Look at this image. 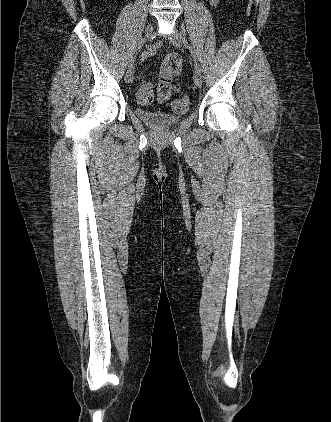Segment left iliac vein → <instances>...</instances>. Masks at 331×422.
<instances>
[{
    "label": "left iliac vein",
    "instance_id": "left-iliac-vein-1",
    "mask_svg": "<svg viewBox=\"0 0 331 422\" xmlns=\"http://www.w3.org/2000/svg\"><path fill=\"white\" fill-rule=\"evenodd\" d=\"M185 34L184 32H176L170 36V42L175 47H180L185 43ZM194 83L197 87H201L203 83V76L201 71L195 70L194 76Z\"/></svg>",
    "mask_w": 331,
    "mask_h": 422
}]
</instances>
